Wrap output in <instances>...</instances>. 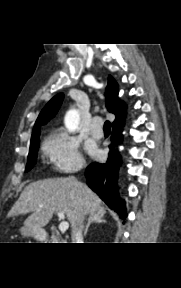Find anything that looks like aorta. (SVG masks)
<instances>
[{
  "label": "aorta",
  "instance_id": "762f6f07",
  "mask_svg": "<svg viewBox=\"0 0 181 288\" xmlns=\"http://www.w3.org/2000/svg\"><path fill=\"white\" fill-rule=\"evenodd\" d=\"M80 121L79 112L76 109L68 111L64 118L65 127L69 132L77 130Z\"/></svg>",
  "mask_w": 181,
  "mask_h": 288
}]
</instances>
